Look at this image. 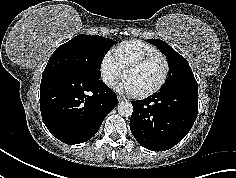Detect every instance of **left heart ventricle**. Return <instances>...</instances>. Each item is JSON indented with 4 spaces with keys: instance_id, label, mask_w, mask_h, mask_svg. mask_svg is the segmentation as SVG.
<instances>
[{
    "instance_id": "left-heart-ventricle-1",
    "label": "left heart ventricle",
    "mask_w": 236,
    "mask_h": 178,
    "mask_svg": "<svg viewBox=\"0 0 236 178\" xmlns=\"http://www.w3.org/2000/svg\"><path fill=\"white\" fill-rule=\"evenodd\" d=\"M164 71L163 61L156 59L129 71L125 80L132 86L135 93H142L154 88L162 79Z\"/></svg>"
}]
</instances>
